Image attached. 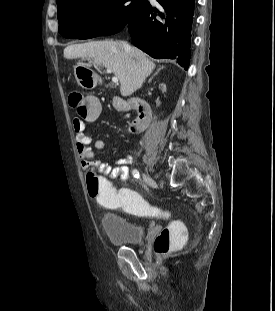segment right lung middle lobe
I'll return each mask as SVG.
<instances>
[{
    "instance_id": "obj_1",
    "label": "right lung middle lobe",
    "mask_w": 275,
    "mask_h": 311,
    "mask_svg": "<svg viewBox=\"0 0 275 311\" xmlns=\"http://www.w3.org/2000/svg\"><path fill=\"white\" fill-rule=\"evenodd\" d=\"M148 4L143 0H70L58 5L59 33L73 39L82 38L88 30L95 36L111 35Z\"/></svg>"
}]
</instances>
